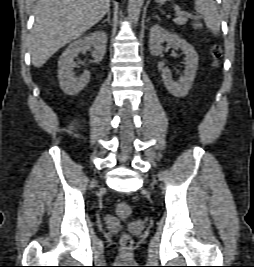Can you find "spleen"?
Wrapping results in <instances>:
<instances>
[{
	"label": "spleen",
	"mask_w": 254,
	"mask_h": 267,
	"mask_svg": "<svg viewBox=\"0 0 254 267\" xmlns=\"http://www.w3.org/2000/svg\"><path fill=\"white\" fill-rule=\"evenodd\" d=\"M195 10L214 34L220 31L221 19L214 0H195Z\"/></svg>",
	"instance_id": "obj_1"
}]
</instances>
